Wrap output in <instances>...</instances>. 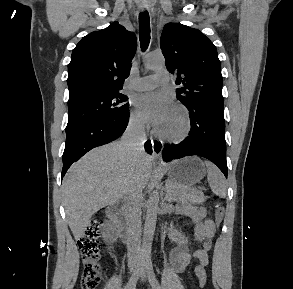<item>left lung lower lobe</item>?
<instances>
[{
	"mask_svg": "<svg viewBox=\"0 0 293 289\" xmlns=\"http://www.w3.org/2000/svg\"><path fill=\"white\" fill-rule=\"evenodd\" d=\"M188 110L191 121L189 136L177 145L164 147V161L191 155L202 156L212 161L227 177L223 109L201 104Z\"/></svg>",
	"mask_w": 293,
	"mask_h": 289,
	"instance_id": "1",
	"label": "left lung lower lobe"
}]
</instances>
